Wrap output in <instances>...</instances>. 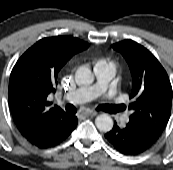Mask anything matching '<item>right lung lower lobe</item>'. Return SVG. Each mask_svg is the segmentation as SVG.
<instances>
[{
    "instance_id": "right-lung-lower-lobe-1",
    "label": "right lung lower lobe",
    "mask_w": 173,
    "mask_h": 170,
    "mask_svg": "<svg viewBox=\"0 0 173 170\" xmlns=\"http://www.w3.org/2000/svg\"><path fill=\"white\" fill-rule=\"evenodd\" d=\"M77 117L73 114H64L51 119L35 128L21 132L32 144L39 148L54 147L65 140L77 126Z\"/></svg>"
}]
</instances>
